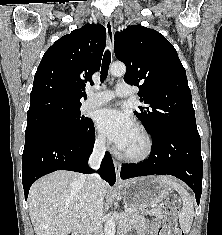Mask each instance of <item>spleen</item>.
<instances>
[{
    "instance_id": "obj_1",
    "label": "spleen",
    "mask_w": 222,
    "mask_h": 235,
    "mask_svg": "<svg viewBox=\"0 0 222 235\" xmlns=\"http://www.w3.org/2000/svg\"><path fill=\"white\" fill-rule=\"evenodd\" d=\"M159 179L176 190L183 200L182 209L179 212V223L183 232L188 233L190 231L193 217H194V208L190 195L188 192L176 182V180L168 176H160Z\"/></svg>"
}]
</instances>
